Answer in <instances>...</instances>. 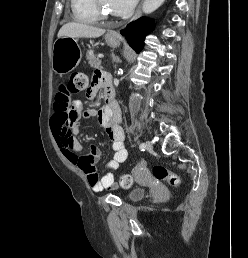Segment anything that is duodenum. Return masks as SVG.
<instances>
[{"label": "duodenum", "mask_w": 248, "mask_h": 258, "mask_svg": "<svg viewBox=\"0 0 248 258\" xmlns=\"http://www.w3.org/2000/svg\"><path fill=\"white\" fill-rule=\"evenodd\" d=\"M103 84H104V92H105V100H106V108L107 109H112L114 106V89L113 86L110 82V80L106 77L103 76L102 78Z\"/></svg>", "instance_id": "1"}]
</instances>
